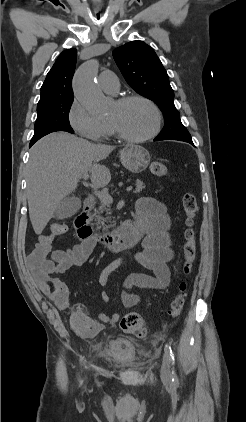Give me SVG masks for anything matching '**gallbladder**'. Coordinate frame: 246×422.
<instances>
[{
    "mask_svg": "<svg viewBox=\"0 0 246 422\" xmlns=\"http://www.w3.org/2000/svg\"><path fill=\"white\" fill-rule=\"evenodd\" d=\"M81 207V200L78 197L71 196L64 198L55 209L53 217L62 220L73 216Z\"/></svg>",
    "mask_w": 246,
    "mask_h": 422,
    "instance_id": "gallbladder-1",
    "label": "gallbladder"
}]
</instances>
